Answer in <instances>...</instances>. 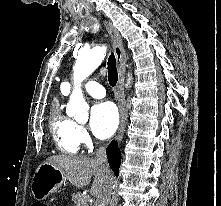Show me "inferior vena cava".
Instances as JSON below:
<instances>
[{"instance_id": "inferior-vena-cava-1", "label": "inferior vena cava", "mask_w": 221, "mask_h": 206, "mask_svg": "<svg viewBox=\"0 0 221 206\" xmlns=\"http://www.w3.org/2000/svg\"><path fill=\"white\" fill-rule=\"evenodd\" d=\"M95 160L101 165L105 173V181L101 194L97 197L94 206H107L111 199V192L113 189V176L109 169L106 157L105 147H100L96 151Z\"/></svg>"}]
</instances>
